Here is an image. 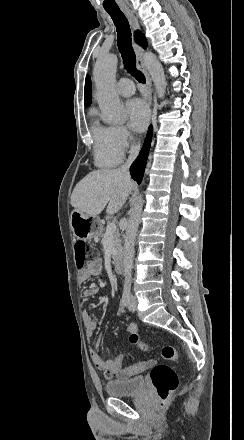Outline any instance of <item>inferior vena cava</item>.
I'll return each instance as SVG.
<instances>
[{
    "label": "inferior vena cava",
    "mask_w": 244,
    "mask_h": 440,
    "mask_svg": "<svg viewBox=\"0 0 244 440\" xmlns=\"http://www.w3.org/2000/svg\"><path fill=\"white\" fill-rule=\"evenodd\" d=\"M139 150H140V144H137V146H131L130 156H129L127 162H125V164H123V166H121V168H120V172H123V174H126V176H128V178H130L129 168H130L132 162H134V160H136V158L139 154Z\"/></svg>",
    "instance_id": "inferior-vena-cava-1"
}]
</instances>
